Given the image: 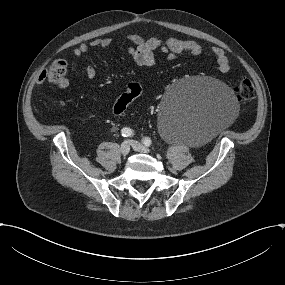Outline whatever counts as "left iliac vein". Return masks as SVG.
<instances>
[{
    "instance_id": "1",
    "label": "left iliac vein",
    "mask_w": 285,
    "mask_h": 285,
    "mask_svg": "<svg viewBox=\"0 0 285 285\" xmlns=\"http://www.w3.org/2000/svg\"><path fill=\"white\" fill-rule=\"evenodd\" d=\"M129 143L133 147V149H135L138 152H144V153H150L151 152V150L149 148L143 146L138 141L130 140Z\"/></svg>"
}]
</instances>
